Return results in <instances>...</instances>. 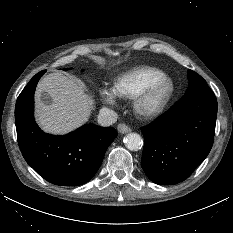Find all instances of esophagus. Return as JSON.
Instances as JSON below:
<instances>
[{"instance_id": "34e87169", "label": "esophagus", "mask_w": 233, "mask_h": 233, "mask_svg": "<svg viewBox=\"0 0 233 233\" xmlns=\"http://www.w3.org/2000/svg\"><path fill=\"white\" fill-rule=\"evenodd\" d=\"M117 130L122 134H125L131 131L130 127L123 123L118 124Z\"/></svg>"}]
</instances>
